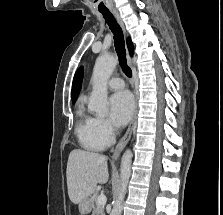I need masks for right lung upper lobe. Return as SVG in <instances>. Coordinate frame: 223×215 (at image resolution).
I'll return each mask as SVG.
<instances>
[{
  "label": "right lung upper lobe",
  "instance_id": "obj_1",
  "mask_svg": "<svg viewBox=\"0 0 223 215\" xmlns=\"http://www.w3.org/2000/svg\"><path fill=\"white\" fill-rule=\"evenodd\" d=\"M128 48L130 50V54H133V44L130 39L127 40ZM83 71L79 69L73 79L72 84V102L74 103L79 95L81 83H82Z\"/></svg>",
  "mask_w": 223,
  "mask_h": 215
}]
</instances>
